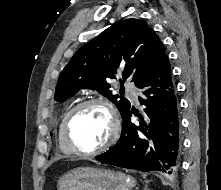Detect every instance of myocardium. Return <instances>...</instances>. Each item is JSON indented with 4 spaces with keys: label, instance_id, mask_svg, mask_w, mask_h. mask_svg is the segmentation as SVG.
<instances>
[{
    "label": "myocardium",
    "instance_id": "myocardium-1",
    "mask_svg": "<svg viewBox=\"0 0 221 190\" xmlns=\"http://www.w3.org/2000/svg\"><path fill=\"white\" fill-rule=\"evenodd\" d=\"M96 104L104 106L110 113L112 120L111 133L109 138L100 146L93 149H84L79 147L73 140L70 133L71 124L74 117L81 109L89 105H96ZM120 129H121L120 118L116 108L114 107L113 103L110 100L103 97H93L77 103L68 111L62 122V135L64 141L66 142V144L72 150L73 153L83 156L95 155L109 149L117 141L120 134Z\"/></svg>",
    "mask_w": 221,
    "mask_h": 190
}]
</instances>
